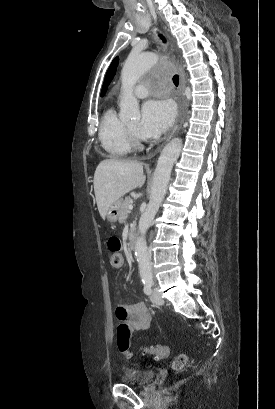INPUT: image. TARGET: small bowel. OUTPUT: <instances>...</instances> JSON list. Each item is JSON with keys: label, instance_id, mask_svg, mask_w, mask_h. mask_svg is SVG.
I'll use <instances>...</instances> for the list:
<instances>
[{"label": "small bowel", "instance_id": "c3829d8e", "mask_svg": "<svg viewBox=\"0 0 275 409\" xmlns=\"http://www.w3.org/2000/svg\"><path fill=\"white\" fill-rule=\"evenodd\" d=\"M116 317L122 322V325L117 327V345L119 346V354L125 355L126 359L132 358L130 352V334L135 330L148 329L152 325V315L147 305L143 302L128 304L124 306L119 303L115 307ZM128 324V325H127ZM139 362L137 359L134 361Z\"/></svg>", "mask_w": 275, "mask_h": 409}]
</instances>
